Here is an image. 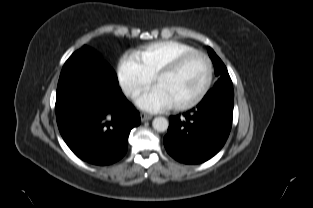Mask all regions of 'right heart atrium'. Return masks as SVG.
I'll return each instance as SVG.
<instances>
[{
  "label": "right heart atrium",
  "instance_id": "d8ad5b80",
  "mask_svg": "<svg viewBox=\"0 0 313 208\" xmlns=\"http://www.w3.org/2000/svg\"><path fill=\"white\" fill-rule=\"evenodd\" d=\"M117 75L119 84L127 96H133L154 80L151 74L138 60L136 55H126L119 61Z\"/></svg>",
  "mask_w": 313,
  "mask_h": 208
}]
</instances>
